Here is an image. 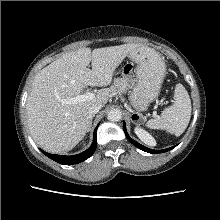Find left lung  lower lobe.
Wrapping results in <instances>:
<instances>
[{"label":"left lung lower lobe","mask_w":220,"mask_h":220,"mask_svg":"<svg viewBox=\"0 0 220 220\" xmlns=\"http://www.w3.org/2000/svg\"><path fill=\"white\" fill-rule=\"evenodd\" d=\"M123 130L125 132V135L127 137V139L133 144L135 145L136 147H138L139 149L145 151V152H148V153H152V154H156V153H163V152H166V151H169L171 149H173L175 146L173 147H170V148H167V149H163V150H152V149H149L141 144H139L138 142H136L135 140L131 139L127 133V130H126V124L125 122H123Z\"/></svg>","instance_id":"obj_1"}]
</instances>
